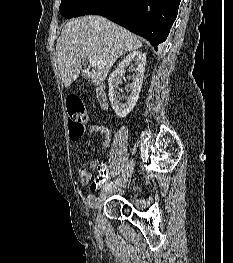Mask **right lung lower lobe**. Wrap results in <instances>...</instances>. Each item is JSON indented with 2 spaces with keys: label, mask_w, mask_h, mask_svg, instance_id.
<instances>
[{
  "label": "right lung lower lobe",
  "mask_w": 233,
  "mask_h": 263,
  "mask_svg": "<svg viewBox=\"0 0 233 263\" xmlns=\"http://www.w3.org/2000/svg\"><path fill=\"white\" fill-rule=\"evenodd\" d=\"M181 0H109L92 9L146 38L155 50L163 43L174 23Z\"/></svg>",
  "instance_id": "98d812e1"
}]
</instances>
